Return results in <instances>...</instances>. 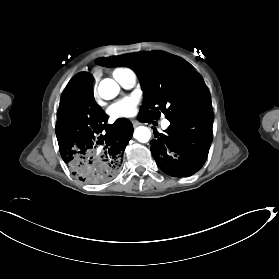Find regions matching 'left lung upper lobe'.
Wrapping results in <instances>:
<instances>
[{
	"mask_svg": "<svg viewBox=\"0 0 279 279\" xmlns=\"http://www.w3.org/2000/svg\"><path fill=\"white\" fill-rule=\"evenodd\" d=\"M95 63L134 70L144 91L139 116L152 120L162 111L169 121H173L212 112L205 83L181 58L152 51L99 58Z\"/></svg>",
	"mask_w": 279,
	"mask_h": 279,
	"instance_id": "5c2ea615",
	"label": "left lung upper lobe"
}]
</instances>
